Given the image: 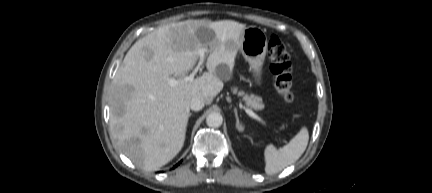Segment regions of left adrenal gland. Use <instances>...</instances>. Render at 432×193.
<instances>
[{
    "label": "left adrenal gland",
    "instance_id": "1",
    "mask_svg": "<svg viewBox=\"0 0 432 193\" xmlns=\"http://www.w3.org/2000/svg\"><path fill=\"white\" fill-rule=\"evenodd\" d=\"M234 113H235V118H236V128L238 129V131L242 132L243 131V127H242V124L239 121V117H238V113H237L236 109H234Z\"/></svg>",
    "mask_w": 432,
    "mask_h": 193
}]
</instances>
